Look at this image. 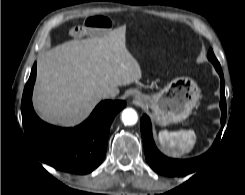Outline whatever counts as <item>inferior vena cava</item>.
<instances>
[{"mask_svg":"<svg viewBox=\"0 0 245 195\" xmlns=\"http://www.w3.org/2000/svg\"><path fill=\"white\" fill-rule=\"evenodd\" d=\"M116 96V93L111 90H106L101 93L102 98H113Z\"/></svg>","mask_w":245,"mask_h":195,"instance_id":"obj_1","label":"inferior vena cava"}]
</instances>
